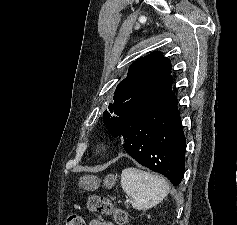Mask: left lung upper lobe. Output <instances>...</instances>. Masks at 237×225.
I'll use <instances>...</instances> for the list:
<instances>
[{"label": "left lung upper lobe", "instance_id": "obj_1", "mask_svg": "<svg viewBox=\"0 0 237 225\" xmlns=\"http://www.w3.org/2000/svg\"><path fill=\"white\" fill-rule=\"evenodd\" d=\"M170 70V61L155 51L130 66L127 77L115 90L114 103H110L109 111L103 113L112 136L131 113L174 96Z\"/></svg>", "mask_w": 237, "mask_h": 225}]
</instances>
